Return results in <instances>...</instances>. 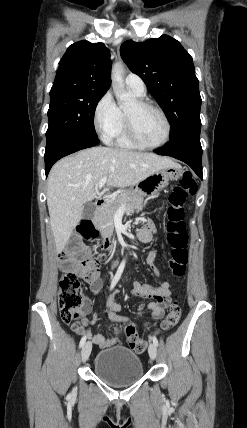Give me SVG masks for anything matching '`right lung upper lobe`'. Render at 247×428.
Returning <instances> with one entry per match:
<instances>
[{
    "label": "right lung upper lobe",
    "mask_w": 247,
    "mask_h": 428,
    "mask_svg": "<svg viewBox=\"0 0 247 428\" xmlns=\"http://www.w3.org/2000/svg\"><path fill=\"white\" fill-rule=\"evenodd\" d=\"M109 50L86 40L70 45L60 61L50 93L65 90L106 92L111 84Z\"/></svg>",
    "instance_id": "1"
}]
</instances>
